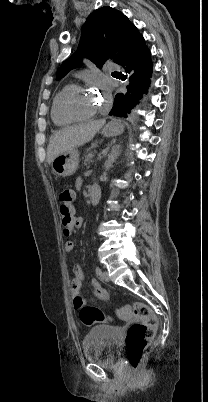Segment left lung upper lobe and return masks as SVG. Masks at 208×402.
<instances>
[{
	"mask_svg": "<svg viewBox=\"0 0 208 402\" xmlns=\"http://www.w3.org/2000/svg\"><path fill=\"white\" fill-rule=\"evenodd\" d=\"M131 25L128 18L114 8L103 7L92 12L82 27L77 52L63 62L56 79L79 67L82 57L88 58L99 68L107 60L115 62Z\"/></svg>",
	"mask_w": 208,
	"mask_h": 402,
	"instance_id": "left-lung-upper-lobe-1",
	"label": "left lung upper lobe"
}]
</instances>
